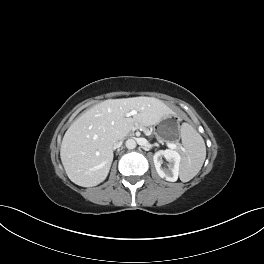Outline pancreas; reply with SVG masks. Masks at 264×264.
<instances>
[{"mask_svg": "<svg viewBox=\"0 0 264 264\" xmlns=\"http://www.w3.org/2000/svg\"><path fill=\"white\" fill-rule=\"evenodd\" d=\"M140 127L143 129V131L146 133V134H150L151 132L145 128L143 125H140ZM179 147V146H178Z\"/></svg>", "mask_w": 264, "mask_h": 264, "instance_id": "pancreas-1", "label": "pancreas"}]
</instances>
